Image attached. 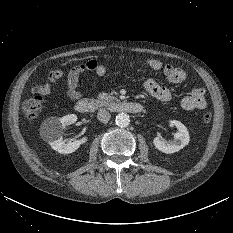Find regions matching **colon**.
<instances>
[{"label": "colon", "instance_id": "colon-1", "mask_svg": "<svg viewBox=\"0 0 233 233\" xmlns=\"http://www.w3.org/2000/svg\"><path fill=\"white\" fill-rule=\"evenodd\" d=\"M43 100L41 96H33L26 99L22 104V110L28 118H34L38 116L42 109ZM202 120L205 124H208L212 120V114L207 112L203 115Z\"/></svg>", "mask_w": 233, "mask_h": 233}]
</instances>
